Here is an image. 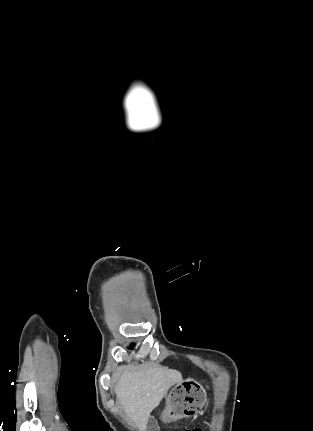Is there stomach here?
<instances>
[{
  "label": "stomach",
  "instance_id": "0dacf381",
  "mask_svg": "<svg viewBox=\"0 0 313 431\" xmlns=\"http://www.w3.org/2000/svg\"><path fill=\"white\" fill-rule=\"evenodd\" d=\"M206 399L203 386L194 379L188 378L177 383L167 395L162 419L174 421L193 417L204 406Z\"/></svg>",
  "mask_w": 313,
  "mask_h": 431
}]
</instances>
